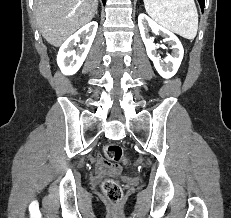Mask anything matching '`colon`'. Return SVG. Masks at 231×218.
<instances>
[{"label": "colon", "mask_w": 231, "mask_h": 218, "mask_svg": "<svg viewBox=\"0 0 231 218\" xmlns=\"http://www.w3.org/2000/svg\"><path fill=\"white\" fill-rule=\"evenodd\" d=\"M106 157L116 163H126L127 159L122 148L117 144H108L104 147ZM102 191L108 201L117 205L123 197V190L120 184L113 179H106L102 183Z\"/></svg>", "instance_id": "1"}]
</instances>
